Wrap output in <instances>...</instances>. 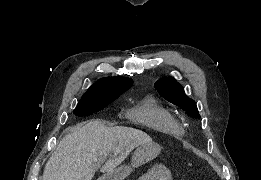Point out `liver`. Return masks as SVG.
Wrapping results in <instances>:
<instances>
[{"label": "liver", "instance_id": "liver-1", "mask_svg": "<svg viewBox=\"0 0 261 180\" xmlns=\"http://www.w3.org/2000/svg\"><path fill=\"white\" fill-rule=\"evenodd\" d=\"M150 136L135 128H107L101 120L84 122L74 126L62 138L55 152L49 158L43 172V180H92L105 162L100 172L108 174L122 164L130 152L150 144Z\"/></svg>", "mask_w": 261, "mask_h": 180}]
</instances>
